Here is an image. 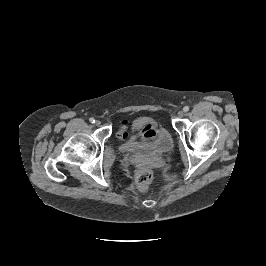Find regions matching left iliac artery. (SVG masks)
<instances>
[{"instance_id": "44dca946", "label": "left iliac artery", "mask_w": 266, "mask_h": 266, "mask_svg": "<svg viewBox=\"0 0 266 266\" xmlns=\"http://www.w3.org/2000/svg\"><path fill=\"white\" fill-rule=\"evenodd\" d=\"M183 111H184V112H188V111H189V107H188V106H185V107L183 108Z\"/></svg>"}]
</instances>
